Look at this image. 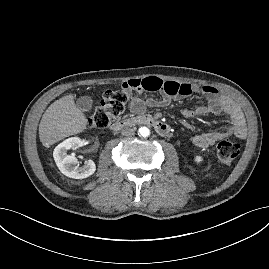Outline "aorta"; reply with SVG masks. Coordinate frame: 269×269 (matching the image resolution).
Wrapping results in <instances>:
<instances>
[{"instance_id":"762f6f07","label":"aorta","mask_w":269,"mask_h":269,"mask_svg":"<svg viewBox=\"0 0 269 269\" xmlns=\"http://www.w3.org/2000/svg\"><path fill=\"white\" fill-rule=\"evenodd\" d=\"M138 133L141 137H148L150 135V130L147 127H140Z\"/></svg>"}]
</instances>
